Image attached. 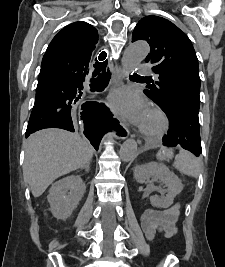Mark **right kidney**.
I'll return each instance as SVG.
<instances>
[{
    "label": "right kidney",
    "mask_w": 225,
    "mask_h": 267,
    "mask_svg": "<svg viewBox=\"0 0 225 267\" xmlns=\"http://www.w3.org/2000/svg\"><path fill=\"white\" fill-rule=\"evenodd\" d=\"M85 190V183L79 175L67 176L52 184L47 199L53 216L57 219L68 218L79 204Z\"/></svg>",
    "instance_id": "right-kidney-1"
}]
</instances>
